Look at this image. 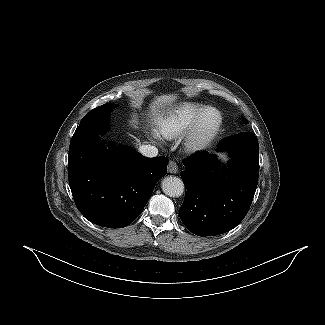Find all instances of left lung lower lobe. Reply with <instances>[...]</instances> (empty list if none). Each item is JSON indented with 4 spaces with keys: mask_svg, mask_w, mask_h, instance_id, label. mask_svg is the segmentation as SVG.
<instances>
[{
    "mask_svg": "<svg viewBox=\"0 0 325 325\" xmlns=\"http://www.w3.org/2000/svg\"><path fill=\"white\" fill-rule=\"evenodd\" d=\"M228 150L231 160L224 176L214 154L202 151L184 160L180 173L187 188L180 208L185 226L198 236L223 234L236 227L252 203L259 175V144L251 132L222 140L217 151Z\"/></svg>",
    "mask_w": 325,
    "mask_h": 325,
    "instance_id": "left-lung-lower-lobe-1",
    "label": "left lung lower lobe"
}]
</instances>
